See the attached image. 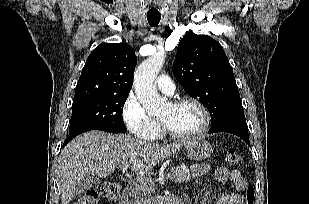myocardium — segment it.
<instances>
[{"mask_svg": "<svg viewBox=\"0 0 309 204\" xmlns=\"http://www.w3.org/2000/svg\"><path fill=\"white\" fill-rule=\"evenodd\" d=\"M170 104L175 107L181 106L184 104H192L200 110L202 114V118H203L201 127L197 131L193 133H189V134L175 133L162 120L159 119L163 132L167 134L170 138L176 139V140H190V139L200 137L208 131L210 124H211L210 113L208 109L206 108V106L203 103H201L199 100L192 98V97H184V98L176 99L172 101Z\"/></svg>", "mask_w": 309, "mask_h": 204, "instance_id": "f54148a6", "label": "myocardium"}]
</instances>
